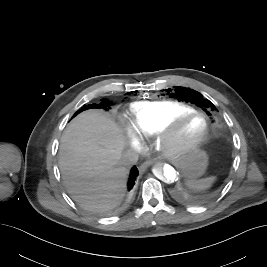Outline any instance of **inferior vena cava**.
I'll list each match as a JSON object with an SVG mask.
<instances>
[{
    "instance_id": "obj_1",
    "label": "inferior vena cava",
    "mask_w": 267,
    "mask_h": 267,
    "mask_svg": "<svg viewBox=\"0 0 267 267\" xmlns=\"http://www.w3.org/2000/svg\"><path fill=\"white\" fill-rule=\"evenodd\" d=\"M138 157L136 152H126L123 154L122 160L126 166H130L137 163Z\"/></svg>"
}]
</instances>
